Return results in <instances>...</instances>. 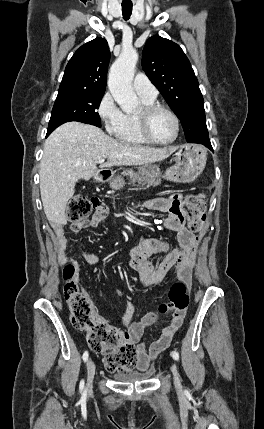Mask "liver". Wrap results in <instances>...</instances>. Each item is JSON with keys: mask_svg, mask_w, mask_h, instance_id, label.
Listing matches in <instances>:
<instances>
[{"mask_svg": "<svg viewBox=\"0 0 264 429\" xmlns=\"http://www.w3.org/2000/svg\"><path fill=\"white\" fill-rule=\"evenodd\" d=\"M176 149L119 142L100 128L80 122L61 125L46 139L40 163V193L48 221L52 225L67 224L65 210L75 184L97 173L99 159L107 158L100 168L147 165L166 159Z\"/></svg>", "mask_w": 264, "mask_h": 429, "instance_id": "obj_1", "label": "liver"}]
</instances>
